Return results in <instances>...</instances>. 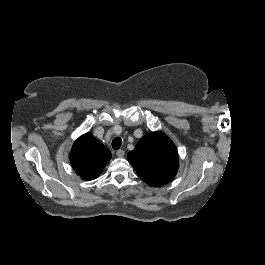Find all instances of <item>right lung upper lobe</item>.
I'll return each mask as SVG.
<instances>
[{"label": "right lung upper lobe", "mask_w": 265, "mask_h": 265, "mask_svg": "<svg viewBox=\"0 0 265 265\" xmlns=\"http://www.w3.org/2000/svg\"><path fill=\"white\" fill-rule=\"evenodd\" d=\"M110 158V151L91 133L79 137L70 152L72 167L84 180L97 178Z\"/></svg>", "instance_id": "1"}]
</instances>
